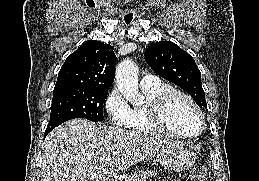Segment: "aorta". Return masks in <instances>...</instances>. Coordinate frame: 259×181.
Returning a JSON list of instances; mask_svg holds the SVG:
<instances>
[{
    "instance_id": "obj_1",
    "label": "aorta",
    "mask_w": 259,
    "mask_h": 181,
    "mask_svg": "<svg viewBox=\"0 0 259 181\" xmlns=\"http://www.w3.org/2000/svg\"><path fill=\"white\" fill-rule=\"evenodd\" d=\"M116 85L119 92L133 106L143 103V96L138 89V68L131 59H124L116 67Z\"/></svg>"
}]
</instances>
